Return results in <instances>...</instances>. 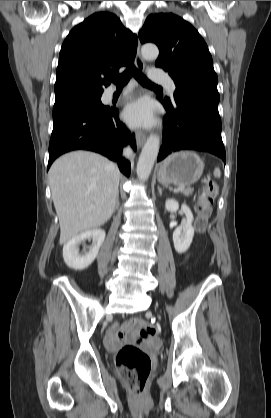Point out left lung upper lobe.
<instances>
[{
	"label": "left lung upper lobe",
	"instance_id": "1",
	"mask_svg": "<svg viewBox=\"0 0 271 418\" xmlns=\"http://www.w3.org/2000/svg\"><path fill=\"white\" fill-rule=\"evenodd\" d=\"M141 43L153 42L159 48L157 67L168 71L176 90L219 102L218 78L203 38L187 21L172 13L150 15L139 32ZM165 102L171 105L170 99Z\"/></svg>",
	"mask_w": 271,
	"mask_h": 418
}]
</instances>
